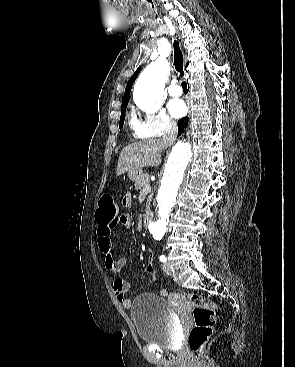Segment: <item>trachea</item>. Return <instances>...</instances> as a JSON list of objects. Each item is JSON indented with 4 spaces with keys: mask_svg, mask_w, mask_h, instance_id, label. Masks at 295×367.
Masks as SVG:
<instances>
[{
    "mask_svg": "<svg viewBox=\"0 0 295 367\" xmlns=\"http://www.w3.org/2000/svg\"><path fill=\"white\" fill-rule=\"evenodd\" d=\"M174 47V65H175V69L177 70V72H179L181 74V76H183V54L182 51L180 49L179 43L178 41H174L173 44ZM182 88L185 91H188L187 89V83L185 81L182 82Z\"/></svg>",
    "mask_w": 295,
    "mask_h": 367,
    "instance_id": "trachea-1",
    "label": "trachea"
}]
</instances>
